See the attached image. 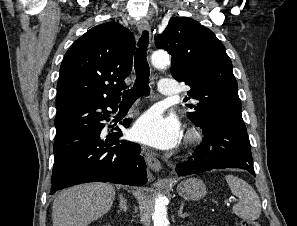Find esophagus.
<instances>
[{
	"label": "esophagus",
	"mask_w": 297,
	"mask_h": 226,
	"mask_svg": "<svg viewBox=\"0 0 297 226\" xmlns=\"http://www.w3.org/2000/svg\"><path fill=\"white\" fill-rule=\"evenodd\" d=\"M139 32L148 31L150 32V25L146 19H141L138 22ZM145 160L149 168L155 172H159L161 169V163L156 156L148 151L145 152Z\"/></svg>",
	"instance_id": "obj_1"
}]
</instances>
